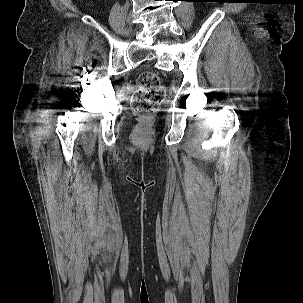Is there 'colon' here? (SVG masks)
Segmentation results:
<instances>
[{
    "label": "colon",
    "mask_w": 303,
    "mask_h": 303,
    "mask_svg": "<svg viewBox=\"0 0 303 303\" xmlns=\"http://www.w3.org/2000/svg\"><path fill=\"white\" fill-rule=\"evenodd\" d=\"M166 98V89L160 77L153 72H143L136 83L135 101L138 110L150 115Z\"/></svg>",
    "instance_id": "1"
}]
</instances>
